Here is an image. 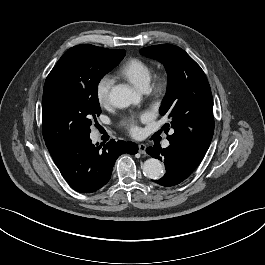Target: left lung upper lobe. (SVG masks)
<instances>
[{
	"label": "left lung upper lobe",
	"mask_w": 265,
	"mask_h": 265,
	"mask_svg": "<svg viewBox=\"0 0 265 265\" xmlns=\"http://www.w3.org/2000/svg\"><path fill=\"white\" fill-rule=\"evenodd\" d=\"M140 53L162 62L168 73L160 114L171 120L164 125L173 129L167 136L170 145L199 165L214 133L212 93L203 70L183 49L171 44L145 47Z\"/></svg>",
	"instance_id": "5c2ea615"
}]
</instances>
